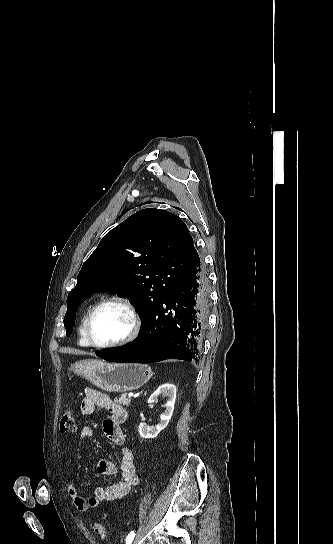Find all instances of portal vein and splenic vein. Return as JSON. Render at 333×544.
<instances>
[{
  "mask_svg": "<svg viewBox=\"0 0 333 544\" xmlns=\"http://www.w3.org/2000/svg\"><path fill=\"white\" fill-rule=\"evenodd\" d=\"M133 396H134L133 393H129V394H128V397H133Z\"/></svg>",
  "mask_w": 333,
  "mask_h": 544,
  "instance_id": "18ae733b",
  "label": "portal vein and splenic vein"
}]
</instances>
